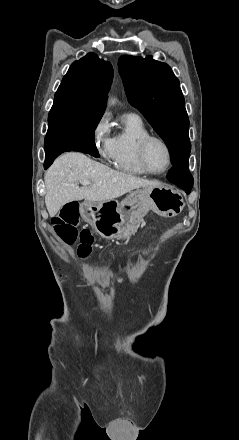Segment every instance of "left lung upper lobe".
Segmentation results:
<instances>
[{
    "label": "left lung upper lobe",
    "instance_id": "left-lung-upper-lobe-1",
    "mask_svg": "<svg viewBox=\"0 0 239 440\" xmlns=\"http://www.w3.org/2000/svg\"><path fill=\"white\" fill-rule=\"evenodd\" d=\"M127 98L153 126L172 154V164L188 162L189 118L179 80L166 64L123 55L118 61Z\"/></svg>",
    "mask_w": 239,
    "mask_h": 440
}]
</instances>
